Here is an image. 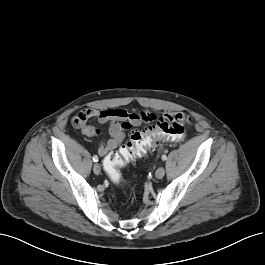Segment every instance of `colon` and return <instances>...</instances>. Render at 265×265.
<instances>
[{
  "label": "colon",
  "instance_id": "colon-1",
  "mask_svg": "<svg viewBox=\"0 0 265 265\" xmlns=\"http://www.w3.org/2000/svg\"><path fill=\"white\" fill-rule=\"evenodd\" d=\"M186 135L185 121L180 118H160L145 131H135L119 151L104 160V169L114 184L122 183L121 169L147 151H155L163 142H179Z\"/></svg>",
  "mask_w": 265,
  "mask_h": 265
}]
</instances>
